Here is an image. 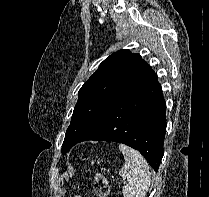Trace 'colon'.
<instances>
[{"label": "colon", "mask_w": 209, "mask_h": 197, "mask_svg": "<svg viewBox=\"0 0 209 197\" xmlns=\"http://www.w3.org/2000/svg\"><path fill=\"white\" fill-rule=\"evenodd\" d=\"M94 192L97 197H108L110 185L105 176L100 174L94 176Z\"/></svg>", "instance_id": "5ec220e1"}]
</instances>
